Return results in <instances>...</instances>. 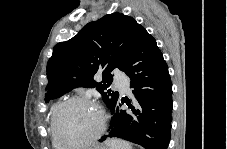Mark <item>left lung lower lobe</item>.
Masks as SVG:
<instances>
[{"label": "left lung lower lobe", "mask_w": 227, "mask_h": 149, "mask_svg": "<svg viewBox=\"0 0 227 149\" xmlns=\"http://www.w3.org/2000/svg\"><path fill=\"white\" fill-rule=\"evenodd\" d=\"M134 99H119L110 108L108 133L99 141L121 138L146 149H167L172 122V83L156 40L140 26L123 70ZM126 103L127 110L121 109Z\"/></svg>", "instance_id": "obj_1"}]
</instances>
